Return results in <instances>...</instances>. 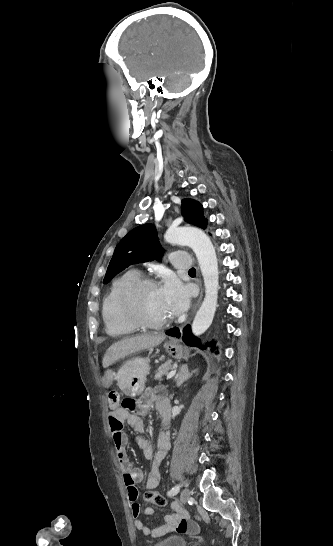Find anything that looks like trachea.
<instances>
[{
    "mask_svg": "<svg viewBox=\"0 0 333 546\" xmlns=\"http://www.w3.org/2000/svg\"><path fill=\"white\" fill-rule=\"evenodd\" d=\"M195 272H196L195 268H191V269L189 270V273H195Z\"/></svg>",
    "mask_w": 333,
    "mask_h": 546,
    "instance_id": "3493384b",
    "label": "trachea"
}]
</instances>
